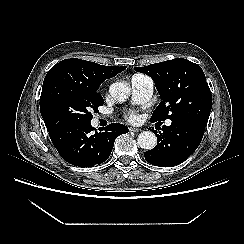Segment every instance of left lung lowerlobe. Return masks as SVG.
<instances>
[{
	"label": "left lung lower lobe",
	"instance_id": "1",
	"mask_svg": "<svg viewBox=\"0 0 244 244\" xmlns=\"http://www.w3.org/2000/svg\"><path fill=\"white\" fill-rule=\"evenodd\" d=\"M205 127L193 120H172L170 126H163L162 132L154 131L157 145L144 153L145 159L159 167L182 163L199 146Z\"/></svg>",
	"mask_w": 244,
	"mask_h": 244
}]
</instances>
